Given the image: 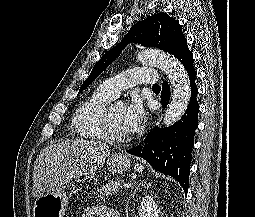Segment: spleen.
I'll list each match as a JSON object with an SVG mask.
<instances>
[{
    "mask_svg": "<svg viewBox=\"0 0 255 217\" xmlns=\"http://www.w3.org/2000/svg\"><path fill=\"white\" fill-rule=\"evenodd\" d=\"M144 169L142 164H135V170L138 172H141Z\"/></svg>",
    "mask_w": 255,
    "mask_h": 217,
    "instance_id": "1",
    "label": "spleen"
}]
</instances>
